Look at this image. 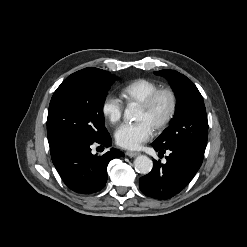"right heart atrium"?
<instances>
[{"label":"right heart atrium","mask_w":247,"mask_h":247,"mask_svg":"<svg viewBox=\"0 0 247 247\" xmlns=\"http://www.w3.org/2000/svg\"><path fill=\"white\" fill-rule=\"evenodd\" d=\"M101 113L111 124H116L122 117L123 105L118 98L107 95L102 101Z\"/></svg>","instance_id":"right-heart-atrium-1"}]
</instances>
